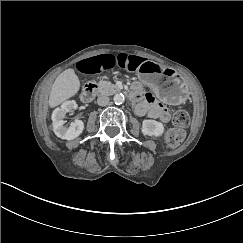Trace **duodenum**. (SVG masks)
Segmentation results:
<instances>
[{
    "label": "duodenum",
    "instance_id": "1",
    "mask_svg": "<svg viewBox=\"0 0 243 243\" xmlns=\"http://www.w3.org/2000/svg\"><path fill=\"white\" fill-rule=\"evenodd\" d=\"M96 89H97V86H96V83L95 82H93V81L88 82L85 85L84 89L82 90L81 100L84 103L91 102L92 99L95 96ZM128 97H129L130 100H132V101L135 102V101H138L141 98V95H140L139 92H137L135 90H132V91H129L128 92Z\"/></svg>",
    "mask_w": 243,
    "mask_h": 243
}]
</instances>
